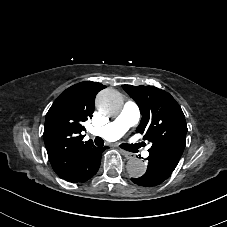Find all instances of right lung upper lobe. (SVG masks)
Returning a JSON list of instances; mask_svg holds the SVG:
<instances>
[{
  "mask_svg": "<svg viewBox=\"0 0 227 227\" xmlns=\"http://www.w3.org/2000/svg\"><path fill=\"white\" fill-rule=\"evenodd\" d=\"M105 86L91 81L75 84L54 101L46 114L44 143L50 163L57 175L64 174L89 148L91 140L84 142L83 122L91 118L96 94Z\"/></svg>",
  "mask_w": 227,
  "mask_h": 227,
  "instance_id": "cb5924a9",
  "label": "right lung upper lobe"
}]
</instances>
